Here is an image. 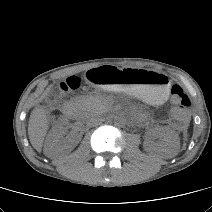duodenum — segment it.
Listing matches in <instances>:
<instances>
[{"mask_svg": "<svg viewBox=\"0 0 212 212\" xmlns=\"http://www.w3.org/2000/svg\"><path fill=\"white\" fill-rule=\"evenodd\" d=\"M63 114L66 117L73 118L75 116V109L71 104H66L63 107Z\"/></svg>", "mask_w": 212, "mask_h": 212, "instance_id": "410a0bca", "label": "duodenum"}]
</instances>
